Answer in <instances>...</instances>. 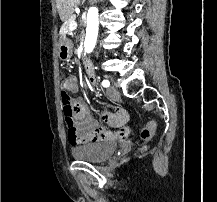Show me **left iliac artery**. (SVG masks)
I'll return each mask as SVG.
<instances>
[{"label":"left iliac artery","instance_id":"44dca946","mask_svg":"<svg viewBox=\"0 0 217 202\" xmlns=\"http://www.w3.org/2000/svg\"><path fill=\"white\" fill-rule=\"evenodd\" d=\"M102 86L105 87V88L109 87L110 86L109 80H103Z\"/></svg>","mask_w":217,"mask_h":202}]
</instances>
